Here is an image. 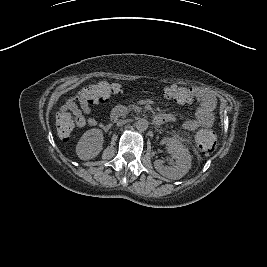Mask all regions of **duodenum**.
Masks as SVG:
<instances>
[{"instance_id":"1","label":"duodenum","mask_w":267,"mask_h":267,"mask_svg":"<svg viewBox=\"0 0 267 267\" xmlns=\"http://www.w3.org/2000/svg\"><path fill=\"white\" fill-rule=\"evenodd\" d=\"M132 114L130 111H128L127 109L123 108V107H116L111 114V121L115 122L116 120L120 119V118H128L131 117ZM166 118L163 116H154L153 120L155 121V123L157 124H162L164 122Z\"/></svg>"}]
</instances>
